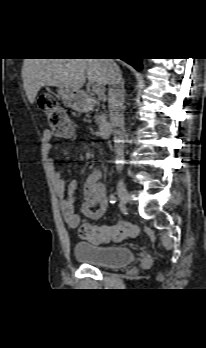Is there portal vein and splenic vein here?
Here are the masks:
<instances>
[{"instance_id": "portal-vein-and-splenic-vein-1", "label": "portal vein and splenic vein", "mask_w": 206, "mask_h": 348, "mask_svg": "<svg viewBox=\"0 0 206 348\" xmlns=\"http://www.w3.org/2000/svg\"><path fill=\"white\" fill-rule=\"evenodd\" d=\"M92 88H93V91L98 95H101L104 92L103 86L99 84H94Z\"/></svg>"}]
</instances>
